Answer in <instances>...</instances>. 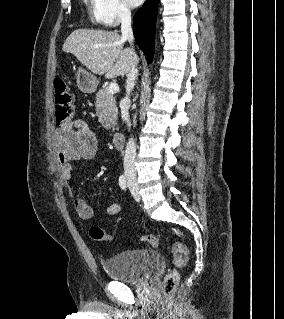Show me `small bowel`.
<instances>
[{"mask_svg":"<svg viewBox=\"0 0 284 319\" xmlns=\"http://www.w3.org/2000/svg\"><path fill=\"white\" fill-rule=\"evenodd\" d=\"M55 143L61 177L69 185L73 173L72 162L94 158L98 152L97 138L84 120L75 119L57 128ZM74 207L78 216L83 220L92 219L95 215L93 207L82 198L74 201ZM119 212L120 205L117 203H111L106 209L109 216H114Z\"/></svg>","mask_w":284,"mask_h":319,"instance_id":"small-bowel-1","label":"small bowel"}]
</instances>
